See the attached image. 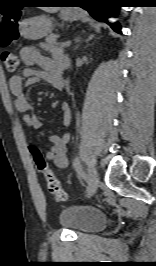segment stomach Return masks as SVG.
I'll use <instances>...</instances> for the list:
<instances>
[{"mask_svg": "<svg viewBox=\"0 0 156 266\" xmlns=\"http://www.w3.org/2000/svg\"><path fill=\"white\" fill-rule=\"evenodd\" d=\"M61 16L64 20H77L80 14L74 9H63ZM53 30L52 20L46 16L27 19L20 25L21 34L29 39L38 40L49 35Z\"/></svg>", "mask_w": 156, "mask_h": 266, "instance_id": "1", "label": "stomach"}]
</instances>
